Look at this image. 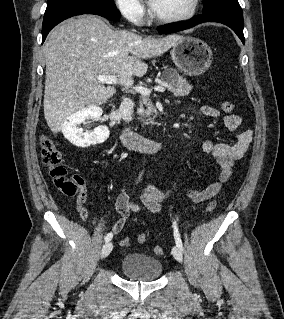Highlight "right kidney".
Masks as SVG:
<instances>
[{"label":"right kidney","instance_id":"ca27d5eb","mask_svg":"<svg viewBox=\"0 0 284 319\" xmlns=\"http://www.w3.org/2000/svg\"><path fill=\"white\" fill-rule=\"evenodd\" d=\"M102 115L99 107H87L72 114L65 122L62 132L66 139L78 147H88L106 141L110 135L107 126L100 125L92 131H83L80 127L86 120L98 118Z\"/></svg>","mask_w":284,"mask_h":319}]
</instances>
